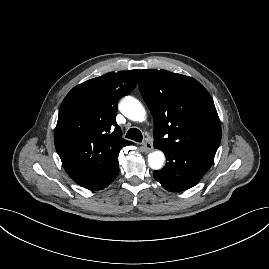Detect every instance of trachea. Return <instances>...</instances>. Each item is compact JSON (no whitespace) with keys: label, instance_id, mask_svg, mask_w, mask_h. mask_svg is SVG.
<instances>
[{"label":"trachea","instance_id":"trachea-1","mask_svg":"<svg viewBox=\"0 0 269 269\" xmlns=\"http://www.w3.org/2000/svg\"><path fill=\"white\" fill-rule=\"evenodd\" d=\"M125 137L136 142H142L143 139L142 133L137 128L129 129Z\"/></svg>","mask_w":269,"mask_h":269}]
</instances>
